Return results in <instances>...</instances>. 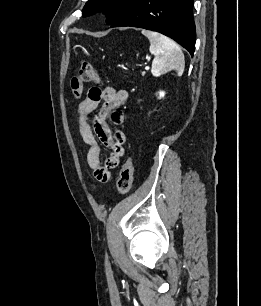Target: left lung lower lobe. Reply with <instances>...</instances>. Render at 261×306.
Returning a JSON list of instances; mask_svg holds the SVG:
<instances>
[{
    "mask_svg": "<svg viewBox=\"0 0 261 306\" xmlns=\"http://www.w3.org/2000/svg\"><path fill=\"white\" fill-rule=\"evenodd\" d=\"M194 0H134L111 27H139L171 37L193 56L195 49Z\"/></svg>",
    "mask_w": 261,
    "mask_h": 306,
    "instance_id": "0a47b994",
    "label": "left lung lower lobe"
}]
</instances>
